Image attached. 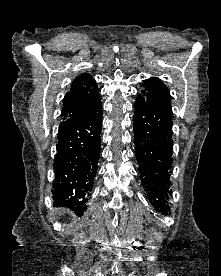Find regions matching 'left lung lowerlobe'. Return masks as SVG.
<instances>
[{
  "instance_id": "left-lung-lower-lobe-1",
  "label": "left lung lower lobe",
  "mask_w": 221,
  "mask_h": 276,
  "mask_svg": "<svg viewBox=\"0 0 221 276\" xmlns=\"http://www.w3.org/2000/svg\"><path fill=\"white\" fill-rule=\"evenodd\" d=\"M134 141L143 185L156 210L166 214L171 195L172 115L155 108L138 94L134 103Z\"/></svg>"
}]
</instances>
